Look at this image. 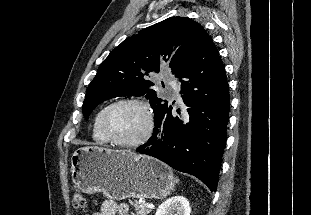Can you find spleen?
I'll use <instances>...</instances> for the list:
<instances>
[{
	"label": "spleen",
	"mask_w": 311,
	"mask_h": 215,
	"mask_svg": "<svg viewBox=\"0 0 311 215\" xmlns=\"http://www.w3.org/2000/svg\"><path fill=\"white\" fill-rule=\"evenodd\" d=\"M176 182L178 183V182H179V179L176 178Z\"/></svg>",
	"instance_id": "1"
}]
</instances>
